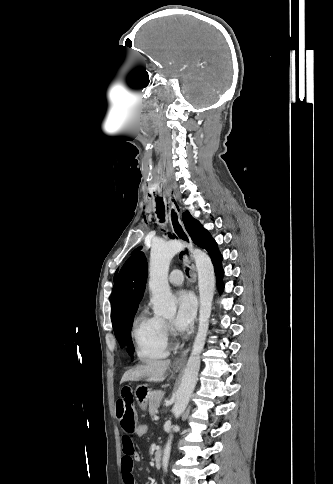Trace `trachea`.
I'll use <instances>...</instances> for the list:
<instances>
[{
	"label": "trachea",
	"instance_id": "trachea-1",
	"mask_svg": "<svg viewBox=\"0 0 333 484\" xmlns=\"http://www.w3.org/2000/svg\"><path fill=\"white\" fill-rule=\"evenodd\" d=\"M157 165L158 166H161L162 165V158L161 157H158L157 158ZM155 181H154V192L156 194H161L163 192V183L162 181L160 180V178L162 177V172L161 171H156L155 172ZM155 202H156V214L158 216V218L160 219V222H164L165 221V205H164V202H163V198L162 197H156L155 198ZM169 236H171L169 234ZM186 274L189 276V268H186Z\"/></svg>",
	"mask_w": 333,
	"mask_h": 484
}]
</instances>
